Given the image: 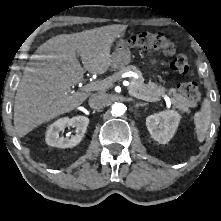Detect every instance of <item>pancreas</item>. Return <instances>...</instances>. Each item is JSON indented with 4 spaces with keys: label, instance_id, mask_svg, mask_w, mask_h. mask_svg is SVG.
<instances>
[{
    "label": "pancreas",
    "instance_id": "obj_1",
    "mask_svg": "<svg viewBox=\"0 0 221 221\" xmlns=\"http://www.w3.org/2000/svg\"><path fill=\"white\" fill-rule=\"evenodd\" d=\"M129 71H134L138 75L137 79L134 78L130 79L131 84L129 86V91L135 93L136 98L143 99V98L157 97L165 92V88L158 86L155 83L145 84L143 82V77L141 72L133 65L123 67L113 76L108 77L104 81L105 87L106 88L111 87L114 81L119 80L123 73ZM169 92L172 93L174 96L172 101L174 106L178 108L181 112L189 113L190 103L187 100V98L183 97L181 94H177L175 89H171Z\"/></svg>",
    "mask_w": 221,
    "mask_h": 221
}]
</instances>
